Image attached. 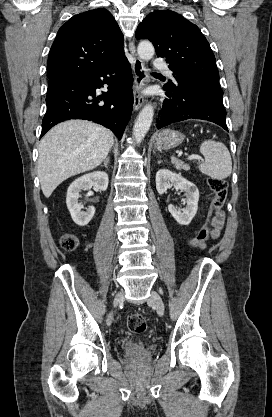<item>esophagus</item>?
<instances>
[{"mask_svg": "<svg viewBox=\"0 0 272 417\" xmlns=\"http://www.w3.org/2000/svg\"><path fill=\"white\" fill-rule=\"evenodd\" d=\"M129 50L133 57V71L135 74V84H134V110H139L144 102L145 99L141 93L142 88L144 87L145 83L148 81V73L144 62L139 58L136 53L135 45L133 41L129 42Z\"/></svg>", "mask_w": 272, "mask_h": 417, "instance_id": "obj_1", "label": "esophagus"}]
</instances>
